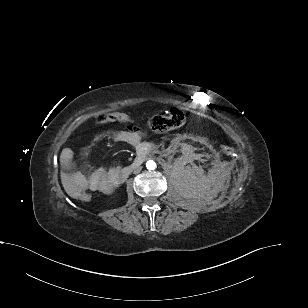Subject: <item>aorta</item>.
<instances>
[{"mask_svg": "<svg viewBox=\"0 0 308 308\" xmlns=\"http://www.w3.org/2000/svg\"><path fill=\"white\" fill-rule=\"evenodd\" d=\"M146 167L149 170H154L156 168V163L153 160H149L146 163Z\"/></svg>", "mask_w": 308, "mask_h": 308, "instance_id": "aorta-1", "label": "aorta"}]
</instances>
